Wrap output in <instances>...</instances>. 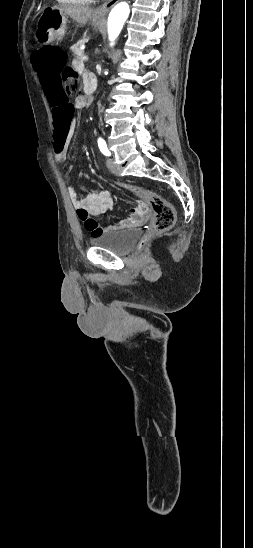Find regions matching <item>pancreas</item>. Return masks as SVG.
Returning <instances> with one entry per match:
<instances>
[{"label": "pancreas", "instance_id": "obj_1", "mask_svg": "<svg viewBox=\"0 0 253 548\" xmlns=\"http://www.w3.org/2000/svg\"><path fill=\"white\" fill-rule=\"evenodd\" d=\"M82 41L78 42L77 44L73 45L71 50L75 56V59L78 61H82V57L84 56V51L81 49Z\"/></svg>", "mask_w": 253, "mask_h": 548}]
</instances>
